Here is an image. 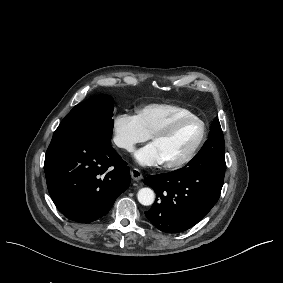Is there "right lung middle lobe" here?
Listing matches in <instances>:
<instances>
[{
  "mask_svg": "<svg viewBox=\"0 0 283 283\" xmlns=\"http://www.w3.org/2000/svg\"><path fill=\"white\" fill-rule=\"evenodd\" d=\"M113 99L108 95L94 96L76 105L61 121L53 138L82 137L110 144L113 127Z\"/></svg>",
  "mask_w": 283,
  "mask_h": 283,
  "instance_id": "1",
  "label": "right lung middle lobe"
}]
</instances>
